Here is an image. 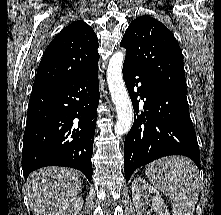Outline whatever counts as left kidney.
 Here are the masks:
<instances>
[{"label": "left kidney", "mask_w": 221, "mask_h": 215, "mask_svg": "<svg viewBox=\"0 0 221 215\" xmlns=\"http://www.w3.org/2000/svg\"><path fill=\"white\" fill-rule=\"evenodd\" d=\"M145 197L152 200L149 211L147 203L143 200ZM132 199L137 215H151L152 212H155V215H170L160 193L141 177L135 178L132 182Z\"/></svg>", "instance_id": "1"}]
</instances>
